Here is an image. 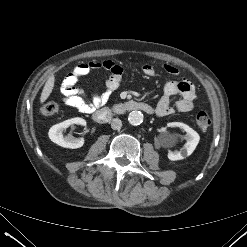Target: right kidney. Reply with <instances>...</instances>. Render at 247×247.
<instances>
[{"mask_svg":"<svg viewBox=\"0 0 247 247\" xmlns=\"http://www.w3.org/2000/svg\"><path fill=\"white\" fill-rule=\"evenodd\" d=\"M74 124L85 126L86 120L80 117H75L53 125L48 132L50 140L64 148L76 149L82 147L84 144L83 138L75 139L70 136H63V131Z\"/></svg>","mask_w":247,"mask_h":247,"instance_id":"obj_1","label":"right kidney"}]
</instances>
